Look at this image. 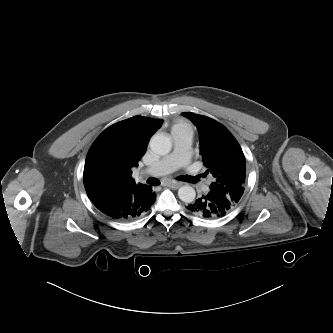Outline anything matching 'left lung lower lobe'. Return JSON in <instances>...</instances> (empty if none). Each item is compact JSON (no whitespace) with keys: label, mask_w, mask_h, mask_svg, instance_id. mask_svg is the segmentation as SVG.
Here are the masks:
<instances>
[{"label":"left lung lower lobe","mask_w":333,"mask_h":333,"mask_svg":"<svg viewBox=\"0 0 333 333\" xmlns=\"http://www.w3.org/2000/svg\"><path fill=\"white\" fill-rule=\"evenodd\" d=\"M234 207V203L226 196L210 190L190 204L187 209L200 217L217 219L225 216Z\"/></svg>","instance_id":"left-lung-lower-lobe-1"}]
</instances>
